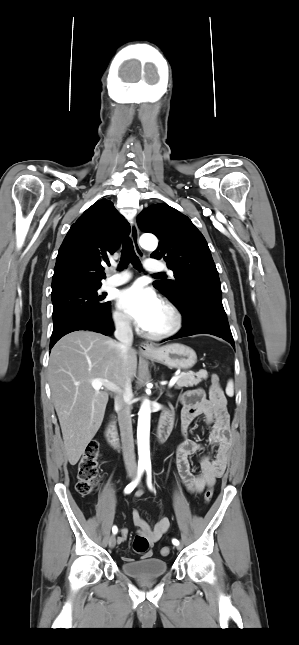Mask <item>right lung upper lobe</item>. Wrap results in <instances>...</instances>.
<instances>
[{"label": "right lung upper lobe", "mask_w": 299, "mask_h": 645, "mask_svg": "<svg viewBox=\"0 0 299 645\" xmlns=\"http://www.w3.org/2000/svg\"><path fill=\"white\" fill-rule=\"evenodd\" d=\"M130 226L113 204L99 200L71 226L60 246L52 293L74 285H101L104 264L119 248Z\"/></svg>", "instance_id": "1"}]
</instances>
